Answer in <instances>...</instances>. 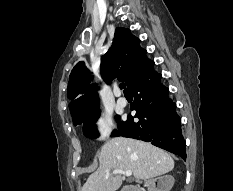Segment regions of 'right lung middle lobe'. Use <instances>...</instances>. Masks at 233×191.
<instances>
[{
	"label": "right lung middle lobe",
	"instance_id": "1",
	"mask_svg": "<svg viewBox=\"0 0 233 191\" xmlns=\"http://www.w3.org/2000/svg\"><path fill=\"white\" fill-rule=\"evenodd\" d=\"M99 115V107L87 110L77 114L76 116H73V123L75 126L83 124V133L86 137L97 138L98 133L94 124L98 119ZM116 120H120L118 116L116 117Z\"/></svg>",
	"mask_w": 233,
	"mask_h": 191
}]
</instances>
